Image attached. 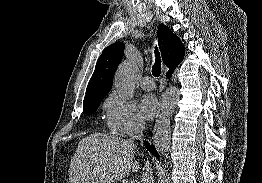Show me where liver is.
Wrapping results in <instances>:
<instances>
[{
  "label": "liver",
  "instance_id": "1",
  "mask_svg": "<svg viewBox=\"0 0 262 183\" xmlns=\"http://www.w3.org/2000/svg\"><path fill=\"white\" fill-rule=\"evenodd\" d=\"M134 142L116 135L93 133L78 144L69 166L70 183H114L136 173Z\"/></svg>",
  "mask_w": 262,
  "mask_h": 183
}]
</instances>
